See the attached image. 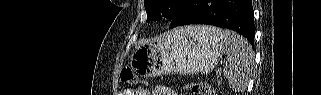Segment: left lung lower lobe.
Instances as JSON below:
<instances>
[{
	"label": "left lung lower lobe",
	"mask_w": 321,
	"mask_h": 95,
	"mask_svg": "<svg viewBox=\"0 0 321 95\" xmlns=\"http://www.w3.org/2000/svg\"><path fill=\"white\" fill-rule=\"evenodd\" d=\"M171 28L206 24L232 29L254 45V13L251 0H185L172 16Z\"/></svg>",
	"instance_id": "obj_1"
}]
</instances>
